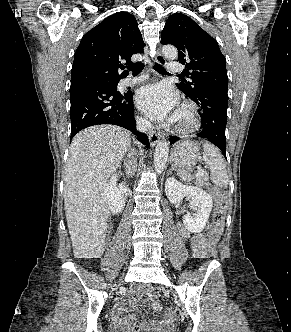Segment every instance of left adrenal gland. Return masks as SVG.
Returning a JSON list of instances; mask_svg holds the SVG:
<instances>
[{"label":"left adrenal gland","instance_id":"1","mask_svg":"<svg viewBox=\"0 0 291 332\" xmlns=\"http://www.w3.org/2000/svg\"><path fill=\"white\" fill-rule=\"evenodd\" d=\"M169 174H171V171H170V170L168 171V175H169Z\"/></svg>","mask_w":291,"mask_h":332}]
</instances>
